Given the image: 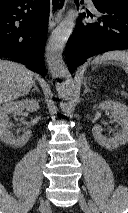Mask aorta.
Masks as SVG:
<instances>
[{
	"instance_id": "aorta-1",
	"label": "aorta",
	"mask_w": 128,
	"mask_h": 213,
	"mask_svg": "<svg viewBox=\"0 0 128 213\" xmlns=\"http://www.w3.org/2000/svg\"><path fill=\"white\" fill-rule=\"evenodd\" d=\"M75 26V15L71 12L53 30L46 46V62L52 78L64 79L57 83L58 96L62 100L60 107L63 112L72 111L70 100L74 96V84L69 70L65 65L62 52Z\"/></svg>"
}]
</instances>
